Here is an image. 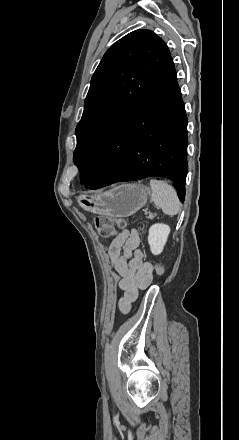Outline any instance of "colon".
Wrapping results in <instances>:
<instances>
[{"instance_id":"obj_1","label":"colon","mask_w":239,"mask_h":440,"mask_svg":"<svg viewBox=\"0 0 239 440\" xmlns=\"http://www.w3.org/2000/svg\"><path fill=\"white\" fill-rule=\"evenodd\" d=\"M115 226L117 228H123L125 226V220L123 218L114 217H98L95 219V227L97 232L103 237H111L114 234ZM164 272V267L157 263L155 266V273L161 275Z\"/></svg>"}]
</instances>
